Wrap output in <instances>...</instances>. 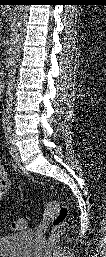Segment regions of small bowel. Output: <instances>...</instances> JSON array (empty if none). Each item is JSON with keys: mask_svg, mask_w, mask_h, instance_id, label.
Here are the masks:
<instances>
[{"mask_svg": "<svg viewBox=\"0 0 106 257\" xmlns=\"http://www.w3.org/2000/svg\"><path fill=\"white\" fill-rule=\"evenodd\" d=\"M11 187V181L9 180L6 170L3 165H0V199L3 200L8 190Z\"/></svg>", "mask_w": 106, "mask_h": 257, "instance_id": "obj_1", "label": "small bowel"}]
</instances>
